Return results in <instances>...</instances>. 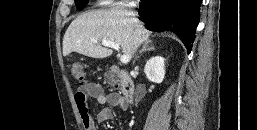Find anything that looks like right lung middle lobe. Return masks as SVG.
Listing matches in <instances>:
<instances>
[{
    "label": "right lung middle lobe",
    "instance_id": "dd1d6c3e",
    "mask_svg": "<svg viewBox=\"0 0 257 130\" xmlns=\"http://www.w3.org/2000/svg\"><path fill=\"white\" fill-rule=\"evenodd\" d=\"M88 0H75L76 6L78 9L84 8Z\"/></svg>",
    "mask_w": 257,
    "mask_h": 130
}]
</instances>
